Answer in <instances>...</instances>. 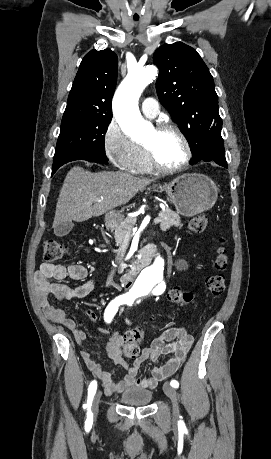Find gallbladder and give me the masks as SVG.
I'll return each mask as SVG.
<instances>
[{
  "instance_id": "gallbladder-1",
  "label": "gallbladder",
  "mask_w": 271,
  "mask_h": 459,
  "mask_svg": "<svg viewBox=\"0 0 271 459\" xmlns=\"http://www.w3.org/2000/svg\"><path fill=\"white\" fill-rule=\"evenodd\" d=\"M73 228L74 224L72 220H69V222H61V224H57V226H55L54 233L55 235H60V237H62V235H67V233H69V231Z\"/></svg>"
}]
</instances>
